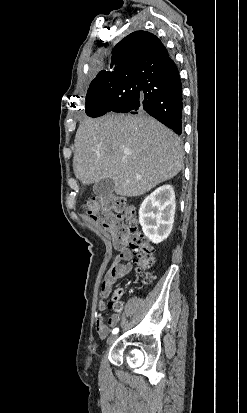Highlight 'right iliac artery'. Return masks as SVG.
I'll list each match as a JSON object with an SVG mask.
<instances>
[{
  "label": "right iliac artery",
  "instance_id": "right-iliac-artery-1",
  "mask_svg": "<svg viewBox=\"0 0 247 413\" xmlns=\"http://www.w3.org/2000/svg\"><path fill=\"white\" fill-rule=\"evenodd\" d=\"M118 332H119V328H114L112 331L113 334H117Z\"/></svg>",
  "mask_w": 247,
  "mask_h": 413
}]
</instances>
